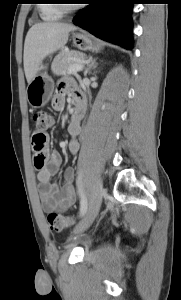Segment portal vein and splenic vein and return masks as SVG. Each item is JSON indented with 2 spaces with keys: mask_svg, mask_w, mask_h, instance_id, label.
Listing matches in <instances>:
<instances>
[{
  "mask_svg": "<svg viewBox=\"0 0 181 300\" xmlns=\"http://www.w3.org/2000/svg\"><path fill=\"white\" fill-rule=\"evenodd\" d=\"M83 69L82 64H74L70 67L68 74H75Z\"/></svg>",
  "mask_w": 181,
  "mask_h": 300,
  "instance_id": "obj_1",
  "label": "portal vein and splenic vein"
}]
</instances>
